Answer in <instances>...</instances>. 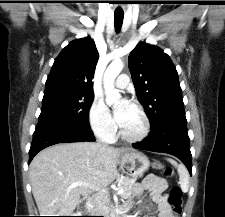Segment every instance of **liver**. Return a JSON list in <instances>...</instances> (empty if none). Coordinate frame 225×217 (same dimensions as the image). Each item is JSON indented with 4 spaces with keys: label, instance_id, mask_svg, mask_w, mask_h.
Wrapping results in <instances>:
<instances>
[{
    "label": "liver",
    "instance_id": "liver-1",
    "mask_svg": "<svg viewBox=\"0 0 225 217\" xmlns=\"http://www.w3.org/2000/svg\"><path fill=\"white\" fill-rule=\"evenodd\" d=\"M130 148H113L90 142L59 143L40 151L29 166L32 193L40 216H66L80 197L111 184L122 154ZM74 182L85 185L72 186Z\"/></svg>",
    "mask_w": 225,
    "mask_h": 217
}]
</instances>
